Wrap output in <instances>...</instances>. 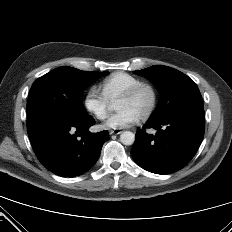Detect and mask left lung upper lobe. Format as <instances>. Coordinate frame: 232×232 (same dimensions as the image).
Masks as SVG:
<instances>
[{"mask_svg":"<svg viewBox=\"0 0 232 232\" xmlns=\"http://www.w3.org/2000/svg\"><path fill=\"white\" fill-rule=\"evenodd\" d=\"M134 73L149 78L162 93L150 119H158L177 107L202 100L196 83L174 68L155 65Z\"/></svg>","mask_w":232,"mask_h":232,"instance_id":"1","label":"left lung upper lobe"}]
</instances>
